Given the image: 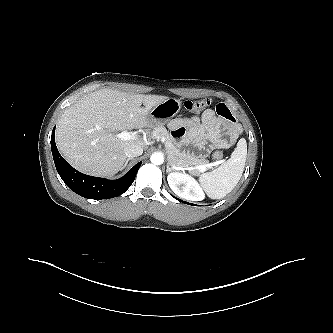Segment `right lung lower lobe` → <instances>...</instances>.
Here are the masks:
<instances>
[{"instance_id":"right-lung-lower-lobe-1","label":"right lung lower lobe","mask_w":333,"mask_h":333,"mask_svg":"<svg viewBox=\"0 0 333 333\" xmlns=\"http://www.w3.org/2000/svg\"><path fill=\"white\" fill-rule=\"evenodd\" d=\"M55 127L51 136V149L56 169L64 183L75 193L88 199H108L124 193L133 183L141 162L117 180L88 176L70 166L60 155L55 144Z\"/></svg>"}]
</instances>
